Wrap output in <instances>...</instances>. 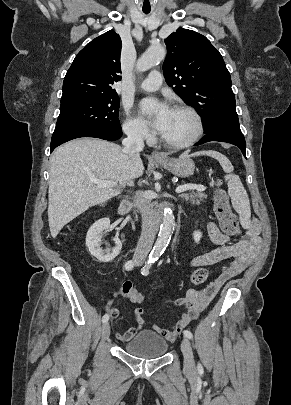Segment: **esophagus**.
<instances>
[{
    "label": "esophagus",
    "instance_id": "1",
    "mask_svg": "<svg viewBox=\"0 0 291 405\" xmlns=\"http://www.w3.org/2000/svg\"><path fill=\"white\" fill-rule=\"evenodd\" d=\"M151 157H152V159L159 160V159H163L164 155L158 151H153L151 154Z\"/></svg>",
    "mask_w": 291,
    "mask_h": 405
}]
</instances>
